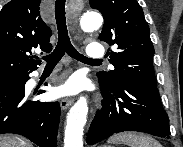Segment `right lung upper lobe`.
<instances>
[{
    "mask_svg": "<svg viewBox=\"0 0 183 147\" xmlns=\"http://www.w3.org/2000/svg\"><path fill=\"white\" fill-rule=\"evenodd\" d=\"M41 0H11L0 11V80L34 71L40 60L33 48L50 52L51 29L43 22Z\"/></svg>",
    "mask_w": 183,
    "mask_h": 147,
    "instance_id": "1",
    "label": "right lung upper lobe"
}]
</instances>
